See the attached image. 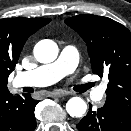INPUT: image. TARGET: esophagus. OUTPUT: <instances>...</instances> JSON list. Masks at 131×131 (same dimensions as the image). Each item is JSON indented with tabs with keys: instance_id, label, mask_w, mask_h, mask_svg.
<instances>
[{
	"instance_id": "1",
	"label": "esophagus",
	"mask_w": 131,
	"mask_h": 131,
	"mask_svg": "<svg viewBox=\"0 0 131 131\" xmlns=\"http://www.w3.org/2000/svg\"><path fill=\"white\" fill-rule=\"evenodd\" d=\"M68 95H70L69 92L56 91V92L51 93L50 96L53 98H61Z\"/></svg>"
}]
</instances>
